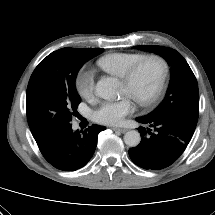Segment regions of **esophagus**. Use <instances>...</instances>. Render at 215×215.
<instances>
[{"label": "esophagus", "mask_w": 215, "mask_h": 215, "mask_svg": "<svg viewBox=\"0 0 215 215\" xmlns=\"http://www.w3.org/2000/svg\"><path fill=\"white\" fill-rule=\"evenodd\" d=\"M113 130H114V131H119V132H121V133H125V132L127 131L126 128H118V127H113Z\"/></svg>", "instance_id": "obj_1"}]
</instances>
